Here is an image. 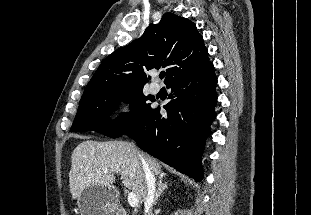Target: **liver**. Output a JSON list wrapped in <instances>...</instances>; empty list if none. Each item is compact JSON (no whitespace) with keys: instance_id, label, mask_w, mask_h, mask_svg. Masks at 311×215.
<instances>
[{"instance_id":"1","label":"liver","mask_w":311,"mask_h":215,"mask_svg":"<svg viewBox=\"0 0 311 215\" xmlns=\"http://www.w3.org/2000/svg\"><path fill=\"white\" fill-rule=\"evenodd\" d=\"M137 153L140 154L134 145L125 141L86 140L78 144L71 155L69 173L72 199L80 198L84 189L92 185L113 187L114 173H119L122 184L136 194L138 202L142 204L146 198L147 186ZM141 155L154 176L164 175L157 160L147 154ZM105 169L108 173H104ZM115 192L118 197L116 189Z\"/></svg>"}]
</instances>
